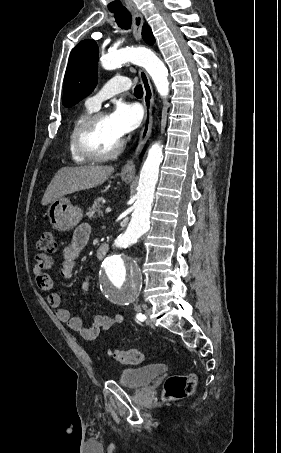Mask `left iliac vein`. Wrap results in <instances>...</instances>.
Instances as JSON below:
<instances>
[{
	"instance_id": "left-iliac-vein-1",
	"label": "left iliac vein",
	"mask_w": 281,
	"mask_h": 453,
	"mask_svg": "<svg viewBox=\"0 0 281 453\" xmlns=\"http://www.w3.org/2000/svg\"><path fill=\"white\" fill-rule=\"evenodd\" d=\"M151 310H145V316L146 318H148L149 320H147V325H153L152 323L154 322L153 320H150L151 318L149 317L151 315Z\"/></svg>"
}]
</instances>
